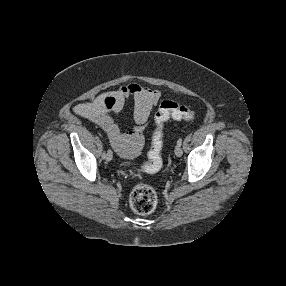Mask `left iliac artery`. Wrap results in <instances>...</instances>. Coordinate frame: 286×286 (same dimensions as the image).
I'll return each mask as SVG.
<instances>
[{"mask_svg":"<svg viewBox=\"0 0 286 286\" xmlns=\"http://www.w3.org/2000/svg\"><path fill=\"white\" fill-rule=\"evenodd\" d=\"M177 145H178V146H181V145H182V138H179V139H178Z\"/></svg>","mask_w":286,"mask_h":286,"instance_id":"44dca946","label":"left iliac artery"}]
</instances>
